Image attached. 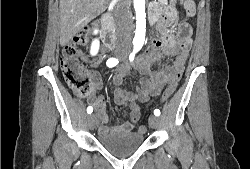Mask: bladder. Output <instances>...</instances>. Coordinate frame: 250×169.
<instances>
[{
	"mask_svg": "<svg viewBox=\"0 0 250 169\" xmlns=\"http://www.w3.org/2000/svg\"><path fill=\"white\" fill-rule=\"evenodd\" d=\"M145 136L137 133H98V143L113 156L125 158L136 152L144 143Z\"/></svg>",
	"mask_w": 250,
	"mask_h": 169,
	"instance_id": "obj_1",
	"label": "bladder"
}]
</instances>
